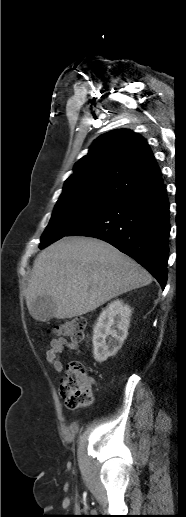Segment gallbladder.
<instances>
[{"label":"gallbladder","mask_w":186,"mask_h":517,"mask_svg":"<svg viewBox=\"0 0 186 517\" xmlns=\"http://www.w3.org/2000/svg\"><path fill=\"white\" fill-rule=\"evenodd\" d=\"M55 303L50 297H37L31 303L30 314L37 320L46 321L52 317Z\"/></svg>","instance_id":"obj_1"}]
</instances>
